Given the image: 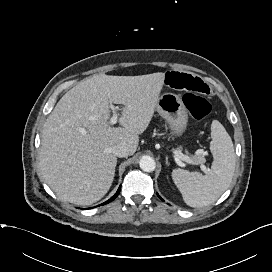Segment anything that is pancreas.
I'll list each match as a JSON object with an SVG mask.
<instances>
[{"mask_svg":"<svg viewBox=\"0 0 272 272\" xmlns=\"http://www.w3.org/2000/svg\"><path fill=\"white\" fill-rule=\"evenodd\" d=\"M190 159L194 162V164H200L205 162L204 156L201 155H193L192 157H190Z\"/></svg>","mask_w":272,"mask_h":272,"instance_id":"1","label":"pancreas"}]
</instances>
